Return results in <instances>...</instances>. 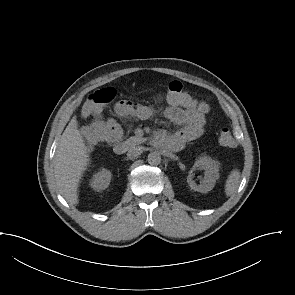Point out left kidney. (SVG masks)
Here are the masks:
<instances>
[{
    "label": "left kidney",
    "mask_w": 295,
    "mask_h": 295,
    "mask_svg": "<svg viewBox=\"0 0 295 295\" xmlns=\"http://www.w3.org/2000/svg\"><path fill=\"white\" fill-rule=\"evenodd\" d=\"M193 167L204 169L205 173L202 183L197 185L193 180L192 170L189 172L187 182L191 189L201 193H207L208 191H211L216 183V180L219 178V169L217 163L210 157L204 156L197 159Z\"/></svg>",
    "instance_id": "1"
}]
</instances>
